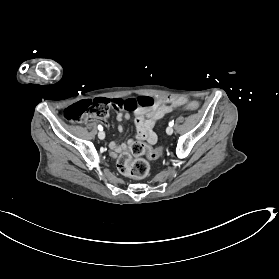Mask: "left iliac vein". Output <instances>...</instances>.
I'll use <instances>...</instances> for the list:
<instances>
[{"label": "left iliac vein", "mask_w": 279, "mask_h": 279, "mask_svg": "<svg viewBox=\"0 0 279 279\" xmlns=\"http://www.w3.org/2000/svg\"><path fill=\"white\" fill-rule=\"evenodd\" d=\"M166 132L168 135H171L173 133V128L171 126L167 127Z\"/></svg>", "instance_id": "left-iliac-vein-1"}]
</instances>
